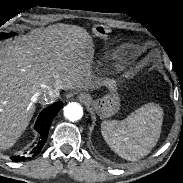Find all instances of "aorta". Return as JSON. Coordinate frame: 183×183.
I'll list each match as a JSON object with an SVG mask.
<instances>
[{
	"mask_svg": "<svg viewBox=\"0 0 183 183\" xmlns=\"http://www.w3.org/2000/svg\"><path fill=\"white\" fill-rule=\"evenodd\" d=\"M64 115L70 121H76L82 118L83 109L80 104L72 102L64 108Z\"/></svg>",
	"mask_w": 183,
	"mask_h": 183,
	"instance_id": "762f6f07",
	"label": "aorta"
}]
</instances>
